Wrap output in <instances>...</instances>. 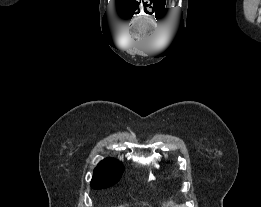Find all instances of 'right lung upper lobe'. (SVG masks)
I'll list each match as a JSON object with an SVG mask.
<instances>
[{
	"label": "right lung upper lobe",
	"mask_w": 261,
	"mask_h": 207,
	"mask_svg": "<svg viewBox=\"0 0 261 207\" xmlns=\"http://www.w3.org/2000/svg\"><path fill=\"white\" fill-rule=\"evenodd\" d=\"M121 164L115 159H106L101 161L96 168H111L115 165Z\"/></svg>",
	"instance_id": "cb5924a9"
}]
</instances>
